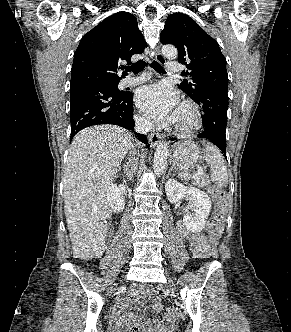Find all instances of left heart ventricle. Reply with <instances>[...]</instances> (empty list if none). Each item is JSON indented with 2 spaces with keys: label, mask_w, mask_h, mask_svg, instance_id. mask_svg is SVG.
I'll return each mask as SVG.
<instances>
[{
  "label": "left heart ventricle",
  "mask_w": 291,
  "mask_h": 332,
  "mask_svg": "<svg viewBox=\"0 0 291 332\" xmlns=\"http://www.w3.org/2000/svg\"><path fill=\"white\" fill-rule=\"evenodd\" d=\"M176 121L180 124H185L187 123V116L186 113L184 112H177V117H176Z\"/></svg>",
  "instance_id": "left-heart-ventricle-1"
}]
</instances>
